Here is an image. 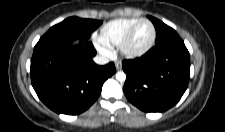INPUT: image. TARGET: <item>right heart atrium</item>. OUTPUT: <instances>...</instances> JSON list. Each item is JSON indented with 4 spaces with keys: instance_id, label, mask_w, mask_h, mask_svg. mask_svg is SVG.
Instances as JSON below:
<instances>
[{
    "instance_id": "obj_1",
    "label": "right heart atrium",
    "mask_w": 225,
    "mask_h": 132,
    "mask_svg": "<svg viewBox=\"0 0 225 132\" xmlns=\"http://www.w3.org/2000/svg\"><path fill=\"white\" fill-rule=\"evenodd\" d=\"M103 52H107V49L104 46L100 47Z\"/></svg>"
}]
</instances>
